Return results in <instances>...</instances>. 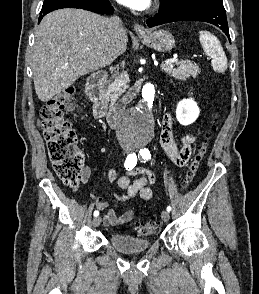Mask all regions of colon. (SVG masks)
<instances>
[{
  "instance_id": "1",
  "label": "colon",
  "mask_w": 259,
  "mask_h": 294,
  "mask_svg": "<svg viewBox=\"0 0 259 294\" xmlns=\"http://www.w3.org/2000/svg\"><path fill=\"white\" fill-rule=\"evenodd\" d=\"M74 93L75 89L69 87L50 98L41 109V119L54 171L63 183L75 189L82 178L83 155L77 146V135L74 129L63 116L64 109L70 104ZM216 126L217 119L214 117L211 131L205 135L198 146L181 180L182 189L188 188L193 182ZM158 228V220L152 217L137 225L136 234L142 237L150 236L155 234Z\"/></svg>"
}]
</instances>
